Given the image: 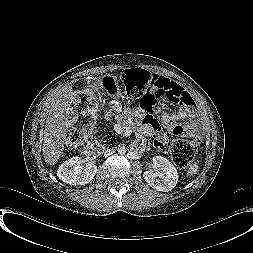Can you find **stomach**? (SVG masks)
Returning <instances> with one entry per match:
<instances>
[{"label": "stomach", "mask_w": 253, "mask_h": 253, "mask_svg": "<svg viewBox=\"0 0 253 253\" xmlns=\"http://www.w3.org/2000/svg\"><path fill=\"white\" fill-rule=\"evenodd\" d=\"M98 86L106 89V91L115 99H119L121 96L120 89L116 84L114 77L110 75H104L98 80Z\"/></svg>", "instance_id": "1"}]
</instances>
